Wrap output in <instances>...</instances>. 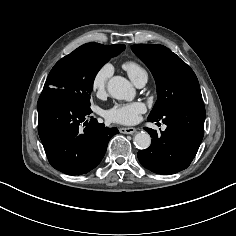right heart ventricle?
Wrapping results in <instances>:
<instances>
[{
    "label": "right heart ventricle",
    "instance_id": "e07e8e85",
    "mask_svg": "<svg viewBox=\"0 0 236 236\" xmlns=\"http://www.w3.org/2000/svg\"><path fill=\"white\" fill-rule=\"evenodd\" d=\"M123 68L127 71L130 78L135 82L142 76H147L146 70L134 61H128L123 64Z\"/></svg>",
    "mask_w": 236,
    "mask_h": 236
}]
</instances>
